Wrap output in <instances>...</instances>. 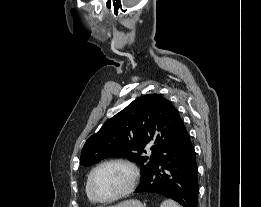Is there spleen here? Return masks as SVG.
<instances>
[{
  "mask_svg": "<svg viewBox=\"0 0 261 207\" xmlns=\"http://www.w3.org/2000/svg\"><path fill=\"white\" fill-rule=\"evenodd\" d=\"M160 207H181L173 200H165L161 203Z\"/></svg>",
  "mask_w": 261,
  "mask_h": 207,
  "instance_id": "1",
  "label": "spleen"
}]
</instances>
